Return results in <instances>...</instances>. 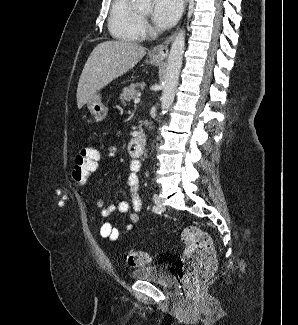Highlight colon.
I'll list each match as a JSON object with an SVG mask.
<instances>
[{
	"label": "colon",
	"mask_w": 298,
	"mask_h": 325,
	"mask_svg": "<svg viewBox=\"0 0 298 325\" xmlns=\"http://www.w3.org/2000/svg\"><path fill=\"white\" fill-rule=\"evenodd\" d=\"M99 158V149L94 144H88L80 150L72 169V179L77 185L87 183ZM60 198L64 200V196ZM182 241L185 248L178 266V277L187 295L193 296L213 275L216 258L209 235L198 227L184 229ZM125 260L129 266L139 267L149 263L150 256L144 251H130Z\"/></svg>",
	"instance_id": "1"
}]
</instances>
